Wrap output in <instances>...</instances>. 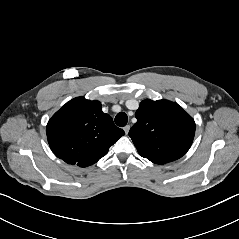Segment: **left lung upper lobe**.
Here are the masks:
<instances>
[{"mask_svg": "<svg viewBox=\"0 0 239 239\" xmlns=\"http://www.w3.org/2000/svg\"><path fill=\"white\" fill-rule=\"evenodd\" d=\"M137 122L129 131L139 154L156 164L182 157L190 148L195 123L177 103L144 100L135 114Z\"/></svg>", "mask_w": 239, "mask_h": 239, "instance_id": "1", "label": "left lung upper lobe"}]
</instances>
